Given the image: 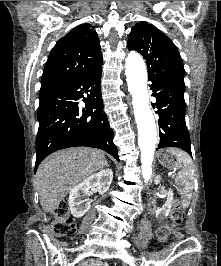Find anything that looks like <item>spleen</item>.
I'll use <instances>...</instances> for the list:
<instances>
[{"label": "spleen", "instance_id": "1", "mask_svg": "<svg viewBox=\"0 0 221 266\" xmlns=\"http://www.w3.org/2000/svg\"><path fill=\"white\" fill-rule=\"evenodd\" d=\"M168 151L175 155L180 163L184 166L182 175L176 179L177 185L180 187V194L183 206L187 207L192 198L194 172L192 170V159L190 156L179 149L170 148Z\"/></svg>", "mask_w": 221, "mask_h": 266}]
</instances>
